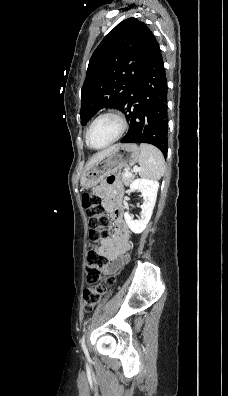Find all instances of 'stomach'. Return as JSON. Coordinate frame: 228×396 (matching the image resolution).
<instances>
[{
	"label": "stomach",
	"mask_w": 228,
	"mask_h": 396,
	"mask_svg": "<svg viewBox=\"0 0 228 396\" xmlns=\"http://www.w3.org/2000/svg\"><path fill=\"white\" fill-rule=\"evenodd\" d=\"M140 158V149L134 143L117 145L109 154L85 169L81 177L83 188L96 186L106 175L133 166Z\"/></svg>",
	"instance_id": "obj_1"
}]
</instances>
